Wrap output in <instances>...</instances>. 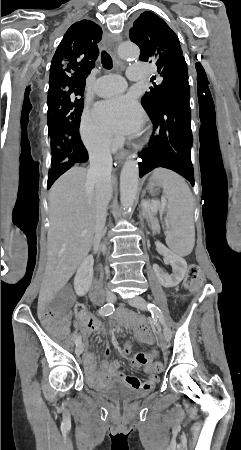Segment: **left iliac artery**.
Returning <instances> with one entry per match:
<instances>
[{"instance_id": "left-iliac-artery-1", "label": "left iliac artery", "mask_w": 241, "mask_h": 450, "mask_svg": "<svg viewBox=\"0 0 241 450\" xmlns=\"http://www.w3.org/2000/svg\"><path fill=\"white\" fill-rule=\"evenodd\" d=\"M148 309L151 312L152 316H156L157 318H159V321L162 323V325H165V319L159 307L154 304H148Z\"/></svg>"}]
</instances>
